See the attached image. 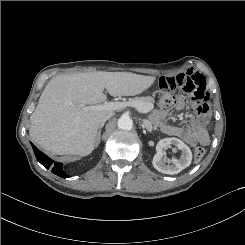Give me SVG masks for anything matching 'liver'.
I'll return each mask as SVG.
<instances>
[{
    "instance_id": "1",
    "label": "liver",
    "mask_w": 245,
    "mask_h": 245,
    "mask_svg": "<svg viewBox=\"0 0 245 245\" xmlns=\"http://www.w3.org/2000/svg\"><path fill=\"white\" fill-rule=\"evenodd\" d=\"M154 76L130 72H88L58 75L44 88L30 116L32 139L59 155H89L96 145L102 119L113 110H88L113 97L135 96L147 90Z\"/></svg>"
}]
</instances>
